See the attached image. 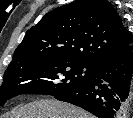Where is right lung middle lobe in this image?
I'll return each mask as SVG.
<instances>
[{
  "mask_svg": "<svg viewBox=\"0 0 133 118\" xmlns=\"http://www.w3.org/2000/svg\"><path fill=\"white\" fill-rule=\"evenodd\" d=\"M94 67L59 58L7 69L0 87V106L23 93L57 96L92 79Z\"/></svg>",
  "mask_w": 133,
  "mask_h": 118,
  "instance_id": "1",
  "label": "right lung middle lobe"
}]
</instances>
